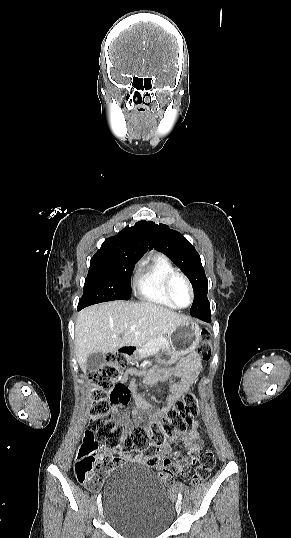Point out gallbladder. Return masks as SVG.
Listing matches in <instances>:
<instances>
[{
    "label": "gallbladder",
    "instance_id": "bac80fb5",
    "mask_svg": "<svg viewBox=\"0 0 291 538\" xmlns=\"http://www.w3.org/2000/svg\"><path fill=\"white\" fill-rule=\"evenodd\" d=\"M105 362V356L102 353H92L87 357V370L91 372L98 371Z\"/></svg>",
    "mask_w": 291,
    "mask_h": 538
}]
</instances>
